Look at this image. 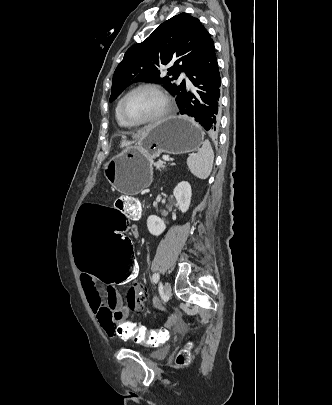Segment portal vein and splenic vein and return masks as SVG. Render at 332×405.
<instances>
[{
    "label": "portal vein and splenic vein",
    "mask_w": 332,
    "mask_h": 405,
    "mask_svg": "<svg viewBox=\"0 0 332 405\" xmlns=\"http://www.w3.org/2000/svg\"><path fill=\"white\" fill-rule=\"evenodd\" d=\"M163 160H164V161H170L171 158H170L169 156H163Z\"/></svg>",
    "instance_id": "obj_1"
}]
</instances>
